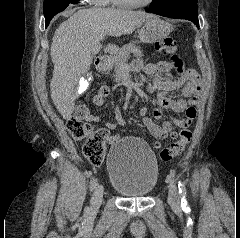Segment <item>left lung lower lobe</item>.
<instances>
[{
	"label": "left lung lower lobe",
	"mask_w": 240,
	"mask_h": 238,
	"mask_svg": "<svg viewBox=\"0 0 240 238\" xmlns=\"http://www.w3.org/2000/svg\"><path fill=\"white\" fill-rule=\"evenodd\" d=\"M146 11L155 13L164 17L187 19L193 22L199 28L198 7L196 3L176 2L169 3L160 7L146 9Z\"/></svg>",
	"instance_id": "obj_1"
}]
</instances>
